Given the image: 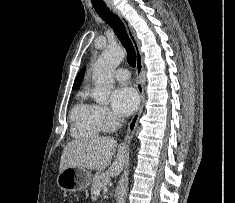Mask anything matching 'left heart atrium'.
<instances>
[{
  "label": "left heart atrium",
  "instance_id": "39dd6f15",
  "mask_svg": "<svg viewBox=\"0 0 235 203\" xmlns=\"http://www.w3.org/2000/svg\"><path fill=\"white\" fill-rule=\"evenodd\" d=\"M139 97L135 89L129 86H120L111 95V105L119 116L130 115L138 106Z\"/></svg>",
  "mask_w": 235,
  "mask_h": 203
}]
</instances>
